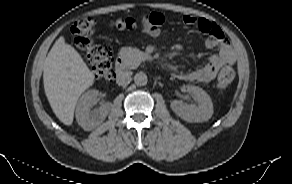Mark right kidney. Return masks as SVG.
Segmentation results:
<instances>
[{
	"instance_id": "obj_1",
	"label": "right kidney",
	"mask_w": 292,
	"mask_h": 184,
	"mask_svg": "<svg viewBox=\"0 0 292 184\" xmlns=\"http://www.w3.org/2000/svg\"><path fill=\"white\" fill-rule=\"evenodd\" d=\"M98 95V90H88L77 103L76 120L85 131L96 128L105 120L110 112V103H105L98 109L90 110L91 103L97 99Z\"/></svg>"
}]
</instances>
